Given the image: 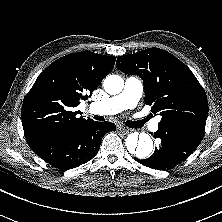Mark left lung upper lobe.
<instances>
[{
    "label": "left lung upper lobe",
    "mask_w": 222,
    "mask_h": 222,
    "mask_svg": "<svg viewBox=\"0 0 222 222\" xmlns=\"http://www.w3.org/2000/svg\"><path fill=\"white\" fill-rule=\"evenodd\" d=\"M117 69L137 75L144 83L145 104L160 113V123L181 122L205 128L206 94L192 71L175 56L159 48L119 56Z\"/></svg>",
    "instance_id": "1"
}]
</instances>
